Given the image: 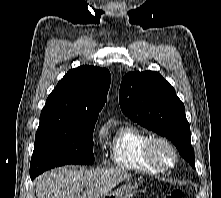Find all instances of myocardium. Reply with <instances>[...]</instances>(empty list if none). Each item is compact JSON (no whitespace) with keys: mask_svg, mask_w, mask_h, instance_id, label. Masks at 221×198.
Listing matches in <instances>:
<instances>
[{"mask_svg":"<svg viewBox=\"0 0 221 198\" xmlns=\"http://www.w3.org/2000/svg\"><path fill=\"white\" fill-rule=\"evenodd\" d=\"M158 145L165 146L171 152V163L166 164L160 160L157 153ZM144 154L146 160L160 171H168L173 169L176 166L179 158L178 151L175 145L168 138L159 135H153L149 137L144 147Z\"/></svg>","mask_w":221,"mask_h":198,"instance_id":"myocardium-1","label":"myocardium"}]
</instances>
